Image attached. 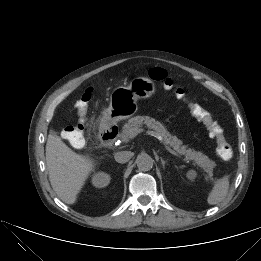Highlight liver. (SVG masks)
Returning <instances> with one entry per match:
<instances>
[{
	"label": "liver",
	"instance_id": "1",
	"mask_svg": "<svg viewBox=\"0 0 261 261\" xmlns=\"http://www.w3.org/2000/svg\"><path fill=\"white\" fill-rule=\"evenodd\" d=\"M46 164L49 179L57 196L67 204H74L95 164L75 153L59 136L49 134L46 144Z\"/></svg>",
	"mask_w": 261,
	"mask_h": 261
}]
</instances>
